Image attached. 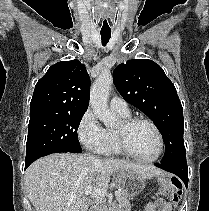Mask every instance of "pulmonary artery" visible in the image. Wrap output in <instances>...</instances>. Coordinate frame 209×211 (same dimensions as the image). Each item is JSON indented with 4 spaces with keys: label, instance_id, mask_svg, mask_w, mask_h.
Segmentation results:
<instances>
[{
    "label": "pulmonary artery",
    "instance_id": "obj_1",
    "mask_svg": "<svg viewBox=\"0 0 209 211\" xmlns=\"http://www.w3.org/2000/svg\"><path fill=\"white\" fill-rule=\"evenodd\" d=\"M110 108L117 113H121V114L130 113L127 102L119 96H114L110 100Z\"/></svg>",
    "mask_w": 209,
    "mask_h": 211
}]
</instances>
